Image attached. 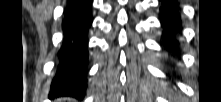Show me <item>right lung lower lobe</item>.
<instances>
[{
	"instance_id": "right-lung-lower-lobe-1",
	"label": "right lung lower lobe",
	"mask_w": 221,
	"mask_h": 102,
	"mask_svg": "<svg viewBox=\"0 0 221 102\" xmlns=\"http://www.w3.org/2000/svg\"><path fill=\"white\" fill-rule=\"evenodd\" d=\"M92 1L69 0L64 11L63 40L50 97L83 98L88 65V32L92 25Z\"/></svg>"
}]
</instances>
